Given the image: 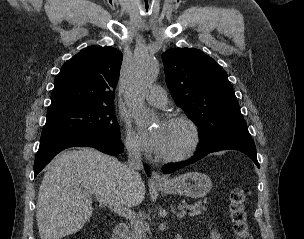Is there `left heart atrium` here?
<instances>
[{
    "instance_id": "left-heart-atrium-1",
    "label": "left heart atrium",
    "mask_w": 304,
    "mask_h": 239,
    "mask_svg": "<svg viewBox=\"0 0 304 239\" xmlns=\"http://www.w3.org/2000/svg\"><path fill=\"white\" fill-rule=\"evenodd\" d=\"M165 131V124L160 125L153 131H143L141 137L144 146L153 152L159 153L162 148Z\"/></svg>"
}]
</instances>
